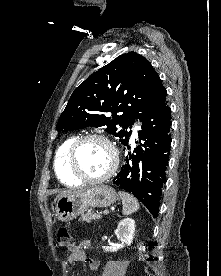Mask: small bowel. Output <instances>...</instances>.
<instances>
[{"label": "small bowel", "instance_id": "obj_1", "mask_svg": "<svg viewBox=\"0 0 221 276\" xmlns=\"http://www.w3.org/2000/svg\"><path fill=\"white\" fill-rule=\"evenodd\" d=\"M90 246L89 240L82 241L79 245H73L72 248L69 249L68 263L70 265L79 262L85 261L88 263L89 268L94 271L99 266V261L94 258H89L86 256L85 249Z\"/></svg>", "mask_w": 221, "mask_h": 276}]
</instances>
